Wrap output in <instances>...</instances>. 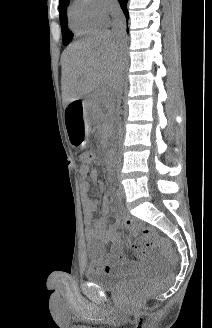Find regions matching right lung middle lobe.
<instances>
[{"label": "right lung middle lobe", "instance_id": "1", "mask_svg": "<svg viewBox=\"0 0 212 328\" xmlns=\"http://www.w3.org/2000/svg\"><path fill=\"white\" fill-rule=\"evenodd\" d=\"M68 2L69 0H60V4H59L60 23H61L62 39L64 45H68L73 39V34L69 32L67 26L66 6Z\"/></svg>", "mask_w": 212, "mask_h": 328}]
</instances>
